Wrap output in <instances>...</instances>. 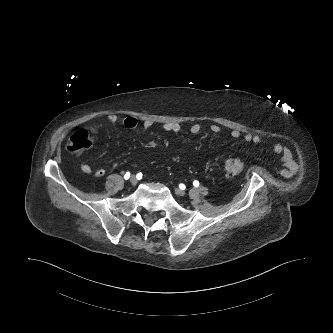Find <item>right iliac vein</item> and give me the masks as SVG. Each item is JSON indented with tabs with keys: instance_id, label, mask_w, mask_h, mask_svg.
I'll list each match as a JSON object with an SVG mask.
<instances>
[{
	"instance_id": "63e3f726",
	"label": "right iliac vein",
	"mask_w": 333,
	"mask_h": 333,
	"mask_svg": "<svg viewBox=\"0 0 333 333\" xmlns=\"http://www.w3.org/2000/svg\"><path fill=\"white\" fill-rule=\"evenodd\" d=\"M137 182H138V180H137V178H136L135 176H131V177H130V183H131L132 185H136Z\"/></svg>"
}]
</instances>
